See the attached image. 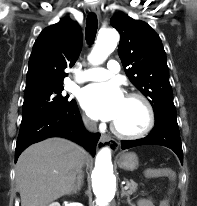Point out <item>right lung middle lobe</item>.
<instances>
[{
  "label": "right lung middle lobe",
  "mask_w": 197,
  "mask_h": 206,
  "mask_svg": "<svg viewBox=\"0 0 197 206\" xmlns=\"http://www.w3.org/2000/svg\"><path fill=\"white\" fill-rule=\"evenodd\" d=\"M63 85H43L26 88L22 110V120H27L38 115L57 112L67 109L75 104L69 96L62 95Z\"/></svg>",
  "instance_id": "right-lung-middle-lobe-1"
}]
</instances>
